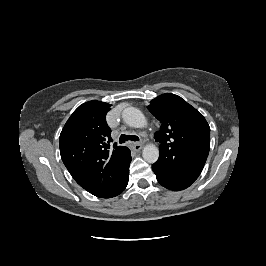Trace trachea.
Instances as JSON below:
<instances>
[{
  "instance_id": "trachea-1",
  "label": "trachea",
  "mask_w": 266,
  "mask_h": 266,
  "mask_svg": "<svg viewBox=\"0 0 266 266\" xmlns=\"http://www.w3.org/2000/svg\"><path fill=\"white\" fill-rule=\"evenodd\" d=\"M131 140V141H139V137L136 135H126L122 134L119 138V143H125L126 141Z\"/></svg>"
}]
</instances>
